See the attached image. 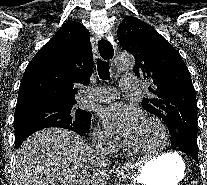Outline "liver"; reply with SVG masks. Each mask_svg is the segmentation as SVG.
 Instances as JSON below:
<instances>
[{
  "mask_svg": "<svg viewBox=\"0 0 207 185\" xmlns=\"http://www.w3.org/2000/svg\"><path fill=\"white\" fill-rule=\"evenodd\" d=\"M96 155L80 135L68 129H42L16 153L13 185H93L85 169L97 165Z\"/></svg>",
  "mask_w": 207,
  "mask_h": 185,
  "instance_id": "obj_1",
  "label": "liver"
}]
</instances>
